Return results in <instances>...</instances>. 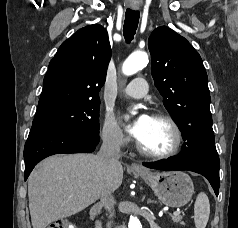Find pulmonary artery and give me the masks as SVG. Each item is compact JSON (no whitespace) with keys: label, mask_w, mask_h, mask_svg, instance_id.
Listing matches in <instances>:
<instances>
[{"label":"pulmonary artery","mask_w":238,"mask_h":228,"mask_svg":"<svg viewBox=\"0 0 238 228\" xmlns=\"http://www.w3.org/2000/svg\"><path fill=\"white\" fill-rule=\"evenodd\" d=\"M122 92L132 98H143L147 93V81L142 77L135 78Z\"/></svg>","instance_id":"obj_1"}]
</instances>
